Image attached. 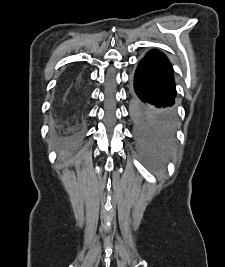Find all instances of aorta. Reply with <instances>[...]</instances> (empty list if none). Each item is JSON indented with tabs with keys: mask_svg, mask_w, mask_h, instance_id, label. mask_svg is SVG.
Segmentation results:
<instances>
[{
	"mask_svg": "<svg viewBox=\"0 0 225 267\" xmlns=\"http://www.w3.org/2000/svg\"><path fill=\"white\" fill-rule=\"evenodd\" d=\"M137 108L138 103L136 100H132L129 106L130 118L133 122H137Z\"/></svg>",
	"mask_w": 225,
	"mask_h": 267,
	"instance_id": "762f6f07",
	"label": "aorta"
}]
</instances>
